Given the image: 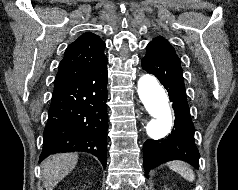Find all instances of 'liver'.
<instances>
[{"mask_svg": "<svg viewBox=\"0 0 238 190\" xmlns=\"http://www.w3.org/2000/svg\"><path fill=\"white\" fill-rule=\"evenodd\" d=\"M77 162V153L55 154L43 161L41 166L43 184L46 190H53L75 168Z\"/></svg>", "mask_w": 238, "mask_h": 190, "instance_id": "1", "label": "liver"}]
</instances>
